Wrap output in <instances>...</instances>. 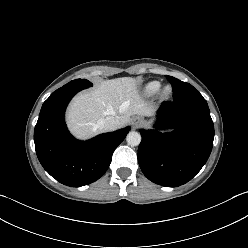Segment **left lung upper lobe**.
Wrapping results in <instances>:
<instances>
[{"mask_svg":"<svg viewBox=\"0 0 248 248\" xmlns=\"http://www.w3.org/2000/svg\"><path fill=\"white\" fill-rule=\"evenodd\" d=\"M172 85L174 101L202 96L192 85L172 76H166Z\"/></svg>","mask_w":248,"mask_h":248,"instance_id":"1","label":"left lung upper lobe"}]
</instances>
